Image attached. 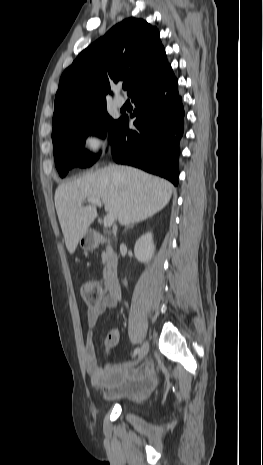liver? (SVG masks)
Listing matches in <instances>:
<instances>
[{"instance_id": "liver-1", "label": "liver", "mask_w": 263, "mask_h": 465, "mask_svg": "<svg viewBox=\"0 0 263 465\" xmlns=\"http://www.w3.org/2000/svg\"><path fill=\"white\" fill-rule=\"evenodd\" d=\"M173 185L139 169L109 165L68 183L55 192V207L70 254L97 216L94 205L82 206L86 199L102 200L105 210L120 224L129 226L161 211L170 201Z\"/></svg>"}]
</instances>
